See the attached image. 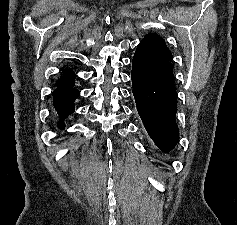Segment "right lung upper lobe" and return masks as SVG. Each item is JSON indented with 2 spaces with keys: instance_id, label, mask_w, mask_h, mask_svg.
Listing matches in <instances>:
<instances>
[{
  "instance_id": "obj_1",
  "label": "right lung upper lobe",
  "mask_w": 237,
  "mask_h": 225,
  "mask_svg": "<svg viewBox=\"0 0 237 225\" xmlns=\"http://www.w3.org/2000/svg\"><path fill=\"white\" fill-rule=\"evenodd\" d=\"M75 77L76 76L70 71H65L64 78L58 80L56 85H73Z\"/></svg>"
}]
</instances>
